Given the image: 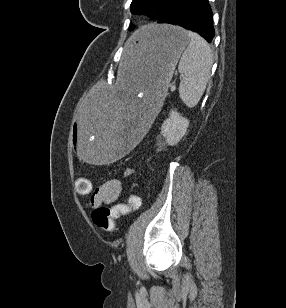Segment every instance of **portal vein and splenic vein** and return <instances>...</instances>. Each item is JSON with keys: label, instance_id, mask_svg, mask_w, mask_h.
I'll use <instances>...</instances> for the list:
<instances>
[{"label": "portal vein and splenic vein", "instance_id": "1", "mask_svg": "<svg viewBox=\"0 0 286 308\" xmlns=\"http://www.w3.org/2000/svg\"><path fill=\"white\" fill-rule=\"evenodd\" d=\"M171 89L174 90V89H175V86H172Z\"/></svg>", "mask_w": 286, "mask_h": 308}]
</instances>
